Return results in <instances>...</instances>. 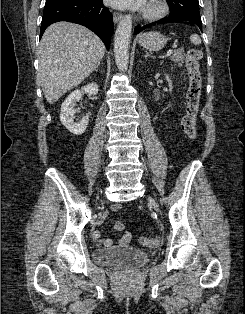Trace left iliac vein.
Wrapping results in <instances>:
<instances>
[{"label": "left iliac vein", "instance_id": "left-iliac-vein-1", "mask_svg": "<svg viewBox=\"0 0 245 314\" xmlns=\"http://www.w3.org/2000/svg\"><path fill=\"white\" fill-rule=\"evenodd\" d=\"M148 199H149L150 204L154 207V209L157 212H159V207H158L157 203L155 202V200L152 197H149Z\"/></svg>", "mask_w": 245, "mask_h": 314}]
</instances>
